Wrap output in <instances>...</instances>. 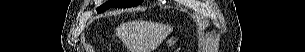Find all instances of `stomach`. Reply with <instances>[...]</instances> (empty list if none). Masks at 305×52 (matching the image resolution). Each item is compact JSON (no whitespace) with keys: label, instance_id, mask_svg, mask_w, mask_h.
Returning a JSON list of instances; mask_svg holds the SVG:
<instances>
[{"label":"stomach","instance_id":"1","mask_svg":"<svg viewBox=\"0 0 305 52\" xmlns=\"http://www.w3.org/2000/svg\"><path fill=\"white\" fill-rule=\"evenodd\" d=\"M178 41V36L177 35H172L170 37H167L164 40L163 46L166 48H170L172 46H174L176 44V42Z\"/></svg>","mask_w":305,"mask_h":52}]
</instances>
